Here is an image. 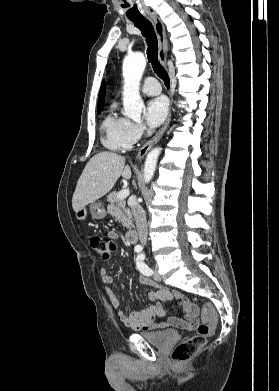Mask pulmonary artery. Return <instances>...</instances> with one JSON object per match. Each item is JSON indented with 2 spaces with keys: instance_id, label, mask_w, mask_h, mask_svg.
<instances>
[{
  "instance_id": "obj_1",
  "label": "pulmonary artery",
  "mask_w": 279,
  "mask_h": 391,
  "mask_svg": "<svg viewBox=\"0 0 279 391\" xmlns=\"http://www.w3.org/2000/svg\"><path fill=\"white\" fill-rule=\"evenodd\" d=\"M142 91L148 95H158L161 92V86L154 77H148L142 85Z\"/></svg>"
}]
</instances>
